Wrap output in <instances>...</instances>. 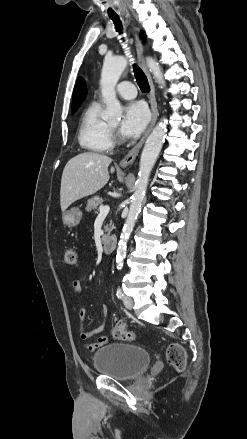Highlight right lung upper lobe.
Masks as SVG:
<instances>
[{"label":"right lung upper lobe","mask_w":247,"mask_h":439,"mask_svg":"<svg viewBox=\"0 0 247 439\" xmlns=\"http://www.w3.org/2000/svg\"><path fill=\"white\" fill-rule=\"evenodd\" d=\"M87 90L83 79L78 78L73 91L72 110L78 109L86 98Z\"/></svg>","instance_id":"right-lung-upper-lobe-1"}]
</instances>
